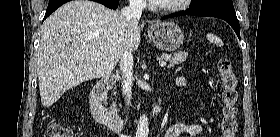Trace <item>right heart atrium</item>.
I'll use <instances>...</instances> for the list:
<instances>
[{"label": "right heart atrium", "instance_id": "right-heart-atrium-1", "mask_svg": "<svg viewBox=\"0 0 280 137\" xmlns=\"http://www.w3.org/2000/svg\"><path fill=\"white\" fill-rule=\"evenodd\" d=\"M137 5L139 6H143L144 5V1L143 0H137Z\"/></svg>", "mask_w": 280, "mask_h": 137}]
</instances>
